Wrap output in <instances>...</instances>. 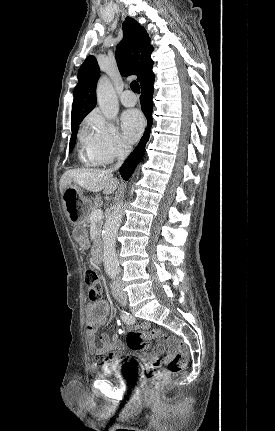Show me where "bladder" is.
I'll list each match as a JSON object with an SVG mask.
<instances>
[{
    "mask_svg": "<svg viewBox=\"0 0 275 431\" xmlns=\"http://www.w3.org/2000/svg\"><path fill=\"white\" fill-rule=\"evenodd\" d=\"M131 364L128 363H111L103 368L101 375L113 376L121 382H127V372L131 371Z\"/></svg>",
    "mask_w": 275,
    "mask_h": 431,
    "instance_id": "bladder-1",
    "label": "bladder"
}]
</instances>
